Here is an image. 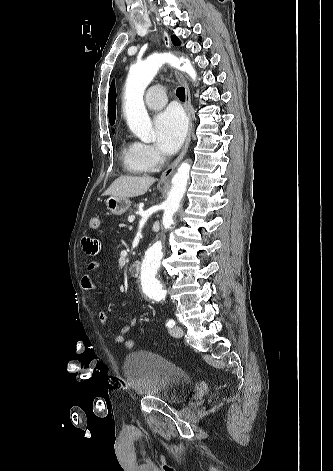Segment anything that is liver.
<instances>
[{
	"mask_svg": "<svg viewBox=\"0 0 333 471\" xmlns=\"http://www.w3.org/2000/svg\"><path fill=\"white\" fill-rule=\"evenodd\" d=\"M156 181L154 177L120 176L109 186L104 195L129 198L143 195Z\"/></svg>",
	"mask_w": 333,
	"mask_h": 471,
	"instance_id": "6515ba94",
	"label": "liver"
}]
</instances>
